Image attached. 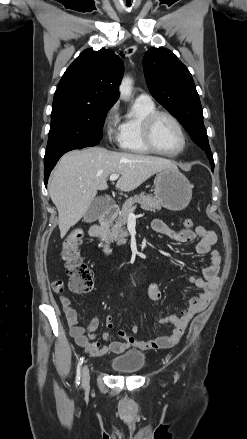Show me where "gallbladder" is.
Listing matches in <instances>:
<instances>
[{"label": "gallbladder", "mask_w": 247, "mask_h": 439, "mask_svg": "<svg viewBox=\"0 0 247 439\" xmlns=\"http://www.w3.org/2000/svg\"><path fill=\"white\" fill-rule=\"evenodd\" d=\"M107 207L108 201L105 197L100 196L95 198L84 215V221H96L104 213Z\"/></svg>", "instance_id": "gallbladder-1"}]
</instances>
